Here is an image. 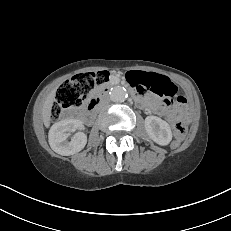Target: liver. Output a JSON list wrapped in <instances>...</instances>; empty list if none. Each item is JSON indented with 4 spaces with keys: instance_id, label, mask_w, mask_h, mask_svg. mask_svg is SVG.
<instances>
[{
    "instance_id": "liver-1",
    "label": "liver",
    "mask_w": 231,
    "mask_h": 231,
    "mask_svg": "<svg viewBox=\"0 0 231 231\" xmlns=\"http://www.w3.org/2000/svg\"><path fill=\"white\" fill-rule=\"evenodd\" d=\"M56 89L54 88L46 97L43 107H42V117H43V123L46 127H49L50 121H51V110L53 106V102L55 101L56 96Z\"/></svg>"
}]
</instances>
